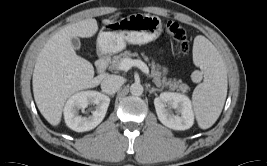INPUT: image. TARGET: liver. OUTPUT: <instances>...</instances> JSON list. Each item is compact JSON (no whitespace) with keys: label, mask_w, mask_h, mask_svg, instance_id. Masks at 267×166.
I'll list each match as a JSON object with an SVG mask.
<instances>
[{"label":"liver","mask_w":267,"mask_h":166,"mask_svg":"<svg viewBox=\"0 0 267 166\" xmlns=\"http://www.w3.org/2000/svg\"><path fill=\"white\" fill-rule=\"evenodd\" d=\"M109 20H103L107 24ZM98 30L96 19L88 18L68 25L53 35L44 45L33 72V94L43 117L57 126L66 100L74 93L96 87L106 77H94L93 65L78 56L71 38L92 37Z\"/></svg>","instance_id":"6515ba94"}]
</instances>
